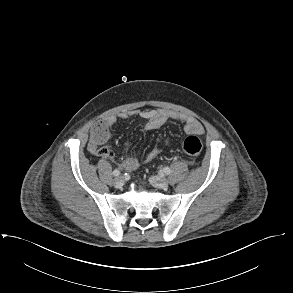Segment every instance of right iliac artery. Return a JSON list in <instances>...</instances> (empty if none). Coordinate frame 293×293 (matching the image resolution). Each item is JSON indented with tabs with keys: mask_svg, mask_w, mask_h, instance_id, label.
I'll return each instance as SVG.
<instances>
[{
	"mask_svg": "<svg viewBox=\"0 0 293 293\" xmlns=\"http://www.w3.org/2000/svg\"><path fill=\"white\" fill-rule=\"evenodd\" d=\"M112 173H113L114 176H119L120 175V171L117 170V169H115Z\"/></svg>",
	"mask_w": 293,
	"mask_h": 293,
	"instance_id": "right-iliac-artery-1",
	"label": "right iliac artery"
}]
</instances>
